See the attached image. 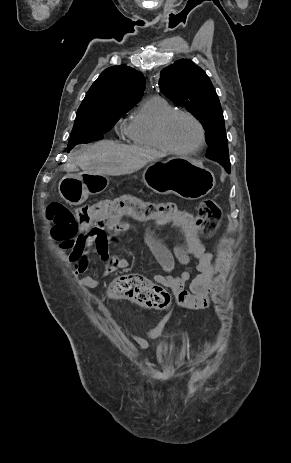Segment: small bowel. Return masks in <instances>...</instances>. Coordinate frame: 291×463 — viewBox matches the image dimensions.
I'll return each instance as SVG.
<instances>
[{"mask_svg":"<svg viewBox=\"0 0 291 463\" xmlns=\"http://www.w3.org/2000/svg\"><path fill=\"white\" fill-rule=\"evenodd\" d=\"M126 218L129 217L103 218L101 228L88 230L76 239L67 259L73 264L72 275L79 277L77 282L80 286L96 287L103 278L129 267V262L124 257L110 252L111 246L117 243L118 236L131 228L124 221ZM177 230L182 245L175 249L174 254L151 231L145 232L144 241L163 269L162 273L154 275L153 278L157 283L169 288L183 307L193 310L209 308L216 276L212 254L205 251L198 233L181 231L178 228ZM60 247L63 248L61 245ZM90 249L99 254L105 265L104 274L100 278L84 276L89 266ZM175 258L182 265H190L193 258L192 267L197 274L192 276L189 270L179 275L174 274Z\"/></svg>","mask_w":291,"mask_h":463,"instance_id":"c3829d8e","label":"small bowel"}]
</instances>
